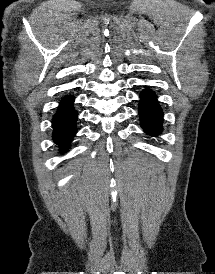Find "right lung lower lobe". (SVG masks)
Listing matches in <instances>:
<instances>
[{
    "mask_svg": "<svg viewBox=\"0 0 215 274\" xmlns=\"http://www.w3.org/2000/svg\"><path fill=\"white\" fill-rule=\"evenodd\" d=\"M72 96L62 98L57 112L53 116V140L61 151H67L72 138L76 134L77 112L73 109Z\"/></svg>",
    "mask_w": 215,
    "mask_h": 274,
    "instance_id": "obj_1",
    "label": "right lung lower lobe"
}]
</instances>
